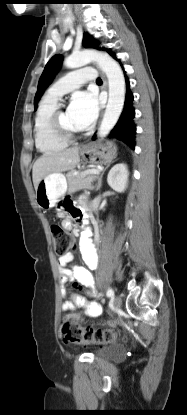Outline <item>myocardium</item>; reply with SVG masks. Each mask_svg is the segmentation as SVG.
<instances>
[{
    "label": "myocardium",
    "mask_w": 187,
    "mask_h": 415,
    "mask_svg": "<svg viewBox=\"0 0 187 415\" xmlns=\"http://www.w3.org/2000/svg\"><path fill=\"white\" fill-rule=\"evenodd\" d=\"M63 112L64 109L61 106L57 107V109L54 111L50 121L51 130L54 133V135L59 139L67 143H71L78 139L82 135V132L69 131L62 125L61 115Z\"/></svg>",
    "instance_id": "f54148a6"
}]
</instances>
